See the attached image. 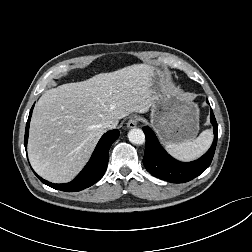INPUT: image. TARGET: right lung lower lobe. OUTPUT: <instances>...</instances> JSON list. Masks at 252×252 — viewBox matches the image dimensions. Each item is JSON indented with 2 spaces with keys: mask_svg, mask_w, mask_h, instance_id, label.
Listing matches in <instances>:
<instances>
[{
  "mask_svg": "<svg viewBox=\"0 0 252 252\" xmlns=\"http://www.w3.org/2000/svg\"><path fill=\"white\" fill-rule=\"evenodd\" d=\"M32 110L33 107L31 108L26 124L24 137L25 147L27 146L29 123L32 115ZM119 134V130H112L108 131L102 136L93 152L91 159L73 181L66 184H53L40 178L37 174L36 176L49 187L66 192H77L92 186L93 184L98 182L104 175L108 164V153L110 146L119 137Z\"/></svg>",
  "mask_w": 252,
  "mask_h": 252,
  "instance_id": "right-lung-lower-lobe-1",
  "label": "right lung lower lobe"
}]
</instances>
